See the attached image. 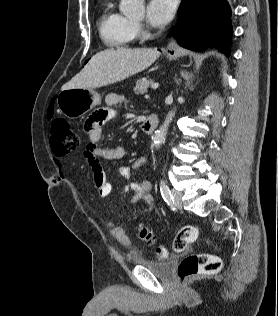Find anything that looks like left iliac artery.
<instances>
[{"label": "left iliac artery", "instance_id": "1", "mask_svg": "<svg viewBox=\"0 0 278 316\" xmlns=\"http://www.w3.org/2000/svg\"><path fill=\"white\" fill-rule=\"evenodd\" d=\"M160 192H161V195H162L164 201L168 205L173 203V196L171 194V191H170L169 187L167 186V183L163 179L160 181Z\"/></svg>", "mask_w": 278, "mask_h": 316}]
</instances>
